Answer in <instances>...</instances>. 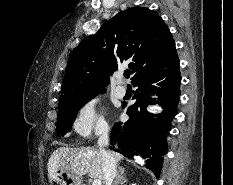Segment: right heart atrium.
Instances as JSON below:
<instances>
[{
    "label": "right heart atrium",
    "mask_w": 233,
    "mask_h": 185,
    "mask_svg": "<svg viewBox=\"0 0 233 185\" xmlns=\"http://www.w3.org/2000/svg\"><path fill=\"white\" fill-rule=\"evenodd\" d=\"M72 130L82 140L108 130L104 109L98 99L91 97L79 105L72 122Z\"/></svg>",
    "instance_id": "d8ad5b80"
}]
</instances>
